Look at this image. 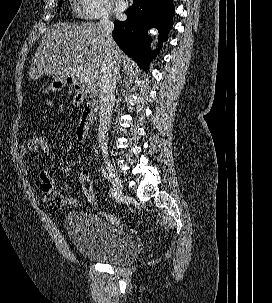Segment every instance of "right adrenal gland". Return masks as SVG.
<instances>
[{"mask_svg": "<svg viewBox=\"0 0 272 303\" xmlns=\"http://www.w3.org/2000/svg\"><path fill=\"white\" fill-rule=\"evenodd\" d=\"M120 78H121V74H120V73H118V78H117V80L119 81V80H120Z\"/></svg>", "mask_w": 272, "mask_h": 303, "instance_id": "2a0ac1e0", "label": "right adrenal gland"}]
</instances>
